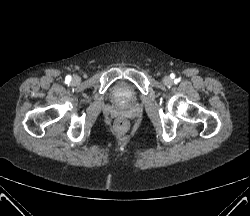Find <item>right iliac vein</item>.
Returning <instances> with one entry per match:
<instances>
[{
	"instance_id": "obj_1",
	"label": "right iliac vein",
	"mask_w": 250,
	"mask_h": 216,
	"mask_svg": "<svg viewBox=\"0 0 250 216\" xmlns=\"http://www.w3.org/2000/svg\"><path fill=\"white\" fill-rule=\"evenodd\" d=\"M72 82L77 84L80 82V78L78 76H75L73 79H72Z\"/></svg>"
}]
</instances>
